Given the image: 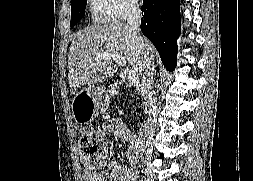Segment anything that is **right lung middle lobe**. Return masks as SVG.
Masks as SVG:
<instances>
[{
  "instance_id": "dd1d6c3e",
  "label": "right lung middle lobe",
  "mask_w": 253,
  "mask_h": 181,
  "mask_svg": "<svg viewBox=\"0 0 253 181\" xmlns=\"http://www.w3.org/2000/svg\"><path fill=\"white\" fill-rule=\"evenodd\" d=\"M86 0H71L70 26L76 25L85 15Z\"/></svg>"
}]
</instances>
